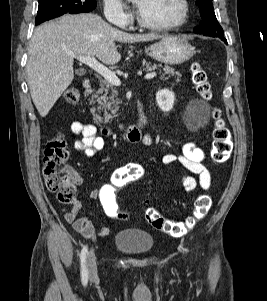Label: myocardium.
<instances>
[{
	"label": "myocardium",
	"instance_id": "1",
	"mask_svg": "<svg viewBox=\"0 0 267 301\" xmlns=\"http://www.w3.org/2000/svg\"><path fill=\"white\" fill-rule=\"evenodd\" d=\"M180 3H181V7H182V13H181L179 19L173 23L153 24V23L145 21L139 14L137 15V22L141 27H143L145 29L153 30V31H171V30L177 29L187 21L188 16H189L188 0H180Z\"/></svg>",
	"mask_w": 267,
	"mask_h": 301
}]
</instances>
